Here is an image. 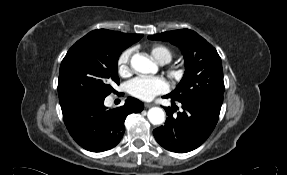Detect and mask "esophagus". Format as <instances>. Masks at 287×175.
<instances>
[{
    "label": "esophagus",
    "mask_w": 287,
    "mask_h": 175,
    "mask_svg": "<svg viewBox=\"0 0 287 175\" xmlns=\"http://www.w3.org/2000/svg\"><path fill=\"white\" fill-rule=\"evenodd\" d=\"M144 106L145 108H150L153 106V103H145Z\"/></svg>",
    "instance_id": "34e87169"
}]
</instances>
